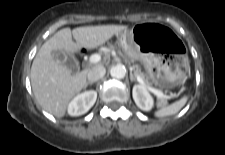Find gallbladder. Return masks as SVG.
Returning <instances> with one entry per match:
<instances>
[{
	"label": "gallbladder",
	"mask_w": 225,
	"mask_h": 155,
	"mask_svg": "<svg viewBox=\"0 0 225 155\" xmlns=\"http://www.w3.org/2000/svg\"><path fill=\"white\" fill-rule=\"evenodd\" d=\"M52 55L56 61L66 66L71 72L78 70V62L72 54L62 50H56L52 52Z\"/></svg>",
	"instance_id": "obj_1"
}]
</instances>
